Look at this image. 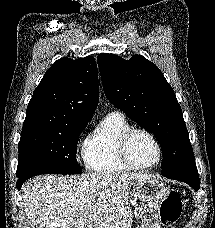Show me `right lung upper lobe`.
I'll return each mask as SVG.
<instances>
[{
  "mask_svg": "<svg viewBox=\"0 0 215 228\" xmlns=\"http://www.w3.org/2000/svg\"><path fill=\"white\" fill-rule=\"evenodd\" d=\"M99 99L98 72L91 56L57 60L45 73L28 104L22 130L89 122Z\"/></svg>",
  "mask_w": 215,
  "mask_h": 228,
  "instance_id": "right-lung-upper-lobe-1",
  "label": "right lung upper lobe"
}]
</instances>
